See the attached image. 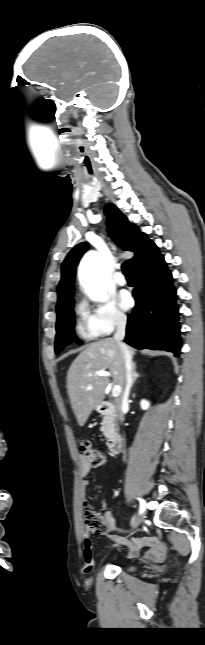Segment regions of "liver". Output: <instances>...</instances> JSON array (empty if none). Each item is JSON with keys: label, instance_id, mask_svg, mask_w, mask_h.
Instances as JSON below:
<instances>
[{"label": "liver", "instance_id": "1", "mask_svg": "<svg viewBox=\"0 0 205 645\" xmlns=\"http://www.w3.org/2000/svg\"><path fill=\"white\" fill-rule=\"evenodd\" d=\"M131 356L135 350L128 347ZM109 370L113 382L125 386V366L121 348L113 338L90 343L76 357L67 373V391L71 407L79 426H84L91 412L102 402L108 377L97 376L99 371ZM91 386V389L88 387Z\"/></svg>", "mask_w": 205, "mask_h": 645}]
</instances>
